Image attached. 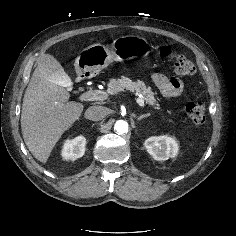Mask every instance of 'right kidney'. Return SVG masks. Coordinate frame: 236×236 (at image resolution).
<instances>
[{
    "instance_id": "obj_1",
    "label": "right kidney",
    "mask_w": 236,
    "mask_h": 236,
    "mask_svg": "<svg viewBox=\"0 0 236 236\" xmlns=\"http://www.w3.org/2000/svg\"><path fill=\"white\" fill-rule=\"evenodd\" d=\"M86 139L84 136H78L72 140H66L61 155L65 160H76L85 153Z\"/></svg>"
}]
</instances>
